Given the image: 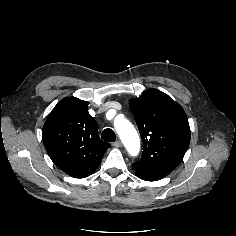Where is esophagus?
<instances>
[{
  "instance_id": "obj_1",
  "label": "esophagus",
  "mask_w": 236,
  "mask_h": 236,
  "mask_svg": "<svg viewBox=\"0 0 236 236\" xmlns=\"http://www.w3.org/2000/svg\"><path fill=\"white\" fill-rule=\"evenodd\" d=\"M114 147H121L122 146V142L120 140H117L113 143Z\"/></svg>"
}]
</instances>
